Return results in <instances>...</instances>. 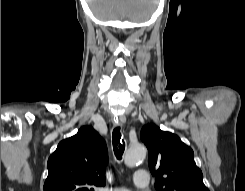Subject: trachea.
<instances>
[{
  "instance_id": "trachea-1",
  "label": "trachea",
  "mask_w": 245,
  "mask_h": 191,
  "mask_svg": "<svg viewBox=\"0 0 245 191\" xmlns=\"http://www.w3.org/2000/svg\"><path fill=\"white\" fill-rule=\"evenodd\" d=\"M112 143H113L115 156L117 157V159L120 160L125 150V142H124V138H122L120 127H116L113 130Z\"/></svg>"
}]
</instances>
